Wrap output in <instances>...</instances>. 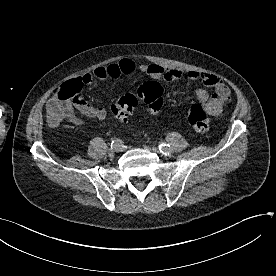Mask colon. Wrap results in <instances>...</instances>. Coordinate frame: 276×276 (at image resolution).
<instances>
[{"label": "colon", "instance_id": "colon-1", "mask_svg": "<svg viewBox=\"0 0 276 276\" xmlns=\"http://www.w3.org/2000/svg\"><path fill=\"white\" fill-rule=\"evenodd\" d=\"M83 85L79 79H73L57 88L50 98L48 115L51 123L57 124L71 111V107L81 96ZM162 87L157 81H150L139 86L136 94L127 93L111 106V111L120 123L127 121L128 116L141 101L148 106L152 114H157L163 103ZM187 120L197 134L209 131L210 122L205 109L199 104L189 107Z\"/></svg>", "mask_w": 276, "mask_h": 276}]
</instances>
